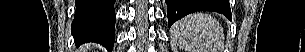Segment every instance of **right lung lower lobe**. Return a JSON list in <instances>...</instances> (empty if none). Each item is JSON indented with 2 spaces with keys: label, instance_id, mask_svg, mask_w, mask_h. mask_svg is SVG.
Masks as SVG:
<instances>
[{
  "label": "right lung lower lobe",
  "instance_id": "98d812e1",
  "mask_svg": "<svg viewBox=\"0 0 305 52\" xmlns=\"http://www.w3.org/2000/svg\"><path fill=\"white\" fill-rule=\"evenodd\" d=\"M71 32L76 44L96 42L112 50L114 45L115 0H76Z\"/></svg>",
  "mask_w": 305,
  "mask_h": 52
}]
</instances>
